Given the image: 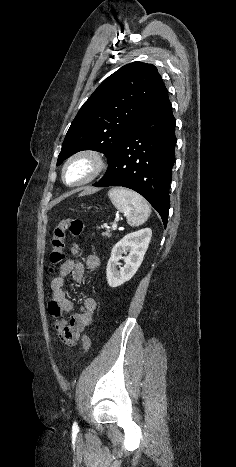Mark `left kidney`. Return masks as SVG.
<instances>
[{
  "mask_svg": "<svg viewBox=\"0 0 236 467\" xmlns=\"http://www.w3.org/2000/svg\"><path fill=\"white\" fill-rule=\"evenodd\" d=\"M152 230L144 228L124 236L115 244L106 268L107 282L110 287H118L129 281L140 267L151 240ZM129 252L126 257L122 254ZM123 259L124 267L117 269L119 260Z\"/></svg>",
  "mask_w": 236,
  "mask_h": 467,
  "instance_id": "obj_1",
  "label": "left kidney"
}]
</instances>
